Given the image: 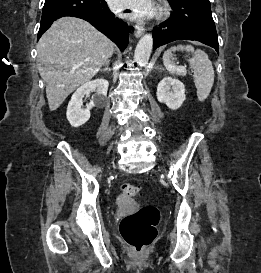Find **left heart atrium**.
Here are the masks:
<instances>
[{
  "mask_svg": "<svg viewBox=\"0 0 261 273\" xmlns=\"http://www.w3.org/2000/svg\"><path fill=\"white\" fill-rule=\"evenodd\" d=\"M111 7L118 12H125L131 18L145 19L155 12L154 0H109Z\"/></svg>",
  "mask_w": 261,
  "mask_h": 273,
  "instance_id": "obj_1",
  "label": "left heart atrium"
}]
</instances>
